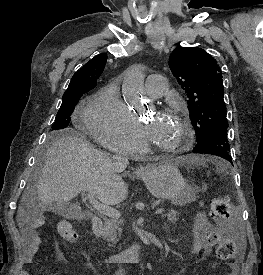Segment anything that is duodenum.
Listing matches in <instances>:
<instances>
[{
  "label": "duodenum",
  "mask_w": 263,
  "mask_h": 275,
  "mask_svg": "<svg viewBox=\"0 0 263 275\" xmlns=\"http://www.w3.org/2000/svg\"><path fill=\"white\" fill-rule=\"evenodd\" d=\"M103 220L99 216L92 218V230L96 239H100L103 232ZM140 247L133 245L130 248L108 256V262L111 264L123 265L127 263H135L139 260Z\"/></svg>",
  "instance_id": "obj_1"
}]
</instances>
